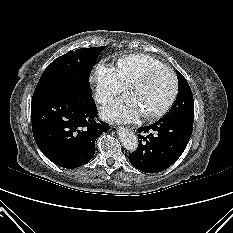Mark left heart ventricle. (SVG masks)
I'll list each match as a JSON object with an SVG mask.
<instances>
[{
	"label": "left heart ventricle",
	"instance_id": "1",
	"mask_svg": "<svg viewBox=\"0 0 233 233\" xmlns=\"http://www.w3.org/2000/svg\"><path fill=\"white\" fill-rule=\"evenodd\" d=\"M172 76L168 71L152 73L143 83L131 89L130 94L136 99L141 113H152L161 108L172 90Z\"/></svg>",
	"mask_w": 233,
	"mask_h": 233
}]
</instances>
